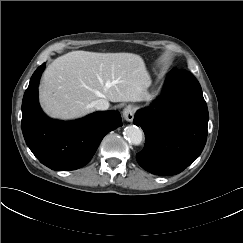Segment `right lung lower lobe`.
I'll return each instance as SVG.
<instances>
[{
	"instance_id": "obj_1",
	"label": "right lung lower lobe",
	"mask_w": 243,
	"mask_h": 243,
	"mask_svg": "<svg viewBox=\"0 0 243 243\" xmlns=\"http://www.w3.org/2000/svg\"><path fill=\"white\" fill-rule=\"evenodd\" d=\"M45 63L30 79L22 102V132L26 144L45 166L69 171L85 166L103 137L122 126L117 111L96 112L72 122L48 118L38 103V85Z\"/></svg>"
}]
</instances>
